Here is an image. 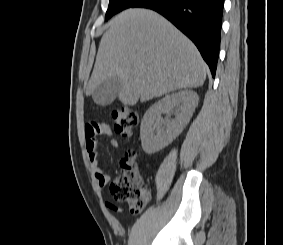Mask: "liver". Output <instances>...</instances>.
Returning a JSON list of instances; mask_svg holds the SVG:
<instances>
[{"label":"liver","mask_w":283,"mask_h":245,"mask_svg":"<svg viewBox=\"0 0 283 245\" xmlns=\"http://www.w3.org/2000/svg\"><path fill=\"white\" fill-rule=\"evenodd\" d=\"M207 66L195 45L169 21L148 9H127L103 34L86 94L118 77L124 105L178 89L202 86Z\"/></svg>","instance_id":"1"}]
</instances>
